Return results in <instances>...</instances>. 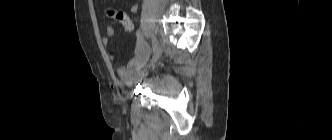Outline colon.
<instances>
[{
    "label": "colon",
    "instance_id": "obj_1",
    "mask_svg": "<svg viewBox=\"0 0 332 140\" xmlns=\"http://www.w3.org/2000/svg\"><path fill=\"white\" fill-rule=\"evenodd\" d=\"M108 15L118 22L123 27L125 32H131L133 30V21L125 12L110 10L108 11Z\"/></svg>",
    "mask_w": 332,
    "mask_h": 140
}]
</instances>
